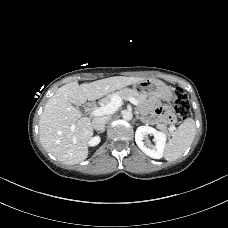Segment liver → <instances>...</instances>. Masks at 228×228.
Wrapping results in <instances>:
<instances>
[{"label":"liver","instance_id":"liver-1","mask_svg":"<svg viewBox=\"0 0 228 228\" xmlns=\"http://www.w3.org/2000/svg\"><path fill=\"white\" fill-rule=\"evenodd\" d=\"M144 80L115 76L91 83L71 82L60 87L46 103L39 120V137L43 148L64 164L74 165L88 157L93 136L89 118L82 117L77 106Z\"/></svg>","mask_w":228,"mask_h":228}]
</instances>
